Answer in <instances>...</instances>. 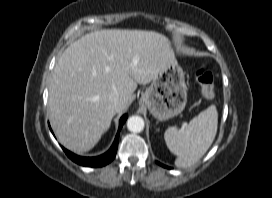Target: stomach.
Here are the masks:
<instances>
[{
    "label": "stomach",
    "instance_id": "obj_1",
    "mask_svg": "<svg viewBox=\"0 0 272 198\" xmlns=\"http://www.w3.org/2000/svg\"><path fill=\"white\" fill-rule=\"evenodd\" d=\"M187 103L185 73L177 62L167 64L141 96L140 104L147 107L158 121L180 114Z\"/></svg>",
    "mask_w": 272,
    "mask_h": 198
}]
</instances>
